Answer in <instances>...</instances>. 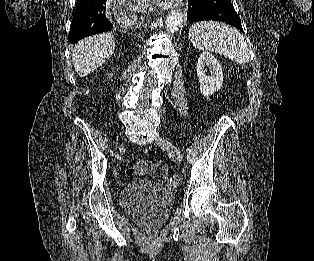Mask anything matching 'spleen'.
I'll list each match as a JSON object with an SVG mask.
<instances>
[{
    "mask_svg": "<svg viewBox=\"0 0 314 261\" xmlns=\"http://www.w3.org/2000/svg\"><path fill=\"white\" fill-rule=\"evenodd\" d=\"M188 36L199 50L213 51L240 65L249 62L250 52L244 36L229 25L214 21L197 22L190 27Z\"/></svg>",
    "mask_w": 314,
    "mask_h": 261,
    "instance_id": "1",
    "label": "spleen"
}]
</instances>
